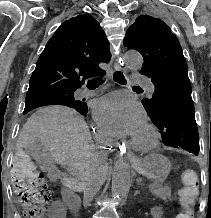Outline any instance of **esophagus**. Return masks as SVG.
Instances as JSON below:
<instances>
[{
	"mask_svg": "<svg viewBox=\"0 0 211 218\" xmlns=\"http://www.w3.org/2000/svg\"><path fill=\"white\" fill-rule=\"evenodd\" d=\"M114 68L117 71H125V67L120 56L114 57ZM118 139L119 140L117 142L119 144H124L126 142L122 136H120ZM113 149L117 150L118 153H122L120 159L128 160V163H131V160H133V155L132 152H130V148H126L125 145H114ZM133 163H136V160H133ZM136 167H139V164H136Z\"/></svg>",
	"mask_w": 211,
	"mask_h": 218,
	"instance_id": "esophagus-1",
	"label": "esophagus"
}]
</instances>
